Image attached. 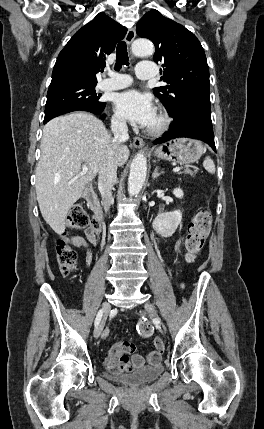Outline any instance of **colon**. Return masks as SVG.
I'll use <instances>...</instances> for the list:
<instances>
[{"label":"colon","mask_w":264,"mask_h":429,"mask_svg":"<svg viewBox=\"0 0 264 429\" xmlns=\"http://www.w3.org/2000/svg\"><path fill=\"white\" fill-rule=\"evenodd\" d=\"M211 213L208 210L198 211L189 224V233L186 240V258L188 262H193L197 254L201 251L206 241L211 226ZM68 229H82L89 225V216L85 209L80 205H74L66 219ZM66 231L61 233L56 243L57 261L63 275H69L76 264L77 255L73 247L65 240ZM153 324L149 320H141L137 326V332L140 337L148 338L153 333ZM155 348L164 349V343L160 338L154 341ZM108 367L114 372L122 371L117 365L108 362Z\"/></svg>","instance_id":"colon-1"}]
</instances>
